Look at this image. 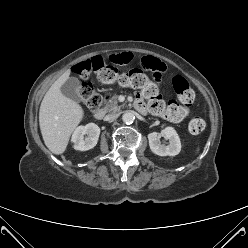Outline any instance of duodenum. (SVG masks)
Returning a JSON list of instances; mask_svg holds the SVG:
<instances>
[{"label":"duodenum","mask_w":248,"mask_h":248,"mask_svg":"<svg viewBox=\"0 0 248 248\" xmlns=\"http://www.w3.org/2000/svg\"><path fill=\"white\" fill-rule=\"evenodd\" d=\"M134 106H135V108L137 110L141 111L142 106H141L140 103L135 102ZM104 115H105V109H104V107H101L97 111L94 112V117H95V119H98V120L99 119H102L104 117Z\"/></svg>","instance_id":"duodenum-1"}]
</instances>
